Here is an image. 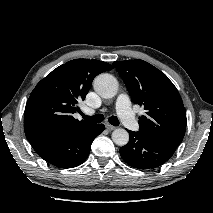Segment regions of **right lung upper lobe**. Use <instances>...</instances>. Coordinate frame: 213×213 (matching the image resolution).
<instances>
[{
	"label": "right lung upper lobe",
	"mask_w": 213,
	"mask_h": 213,
	"mask_svg": "<svg viewBox=\"0 0 213 213\" xmlns=\"http://www.w3.org/2000/svg\"><path fill=\"white\" fill-rule=\"evenodd\" d=\"M113 67L103 61L75 59L54 69L31 92L24 113L28 140L62 139L93 123L79 121L78 102L85 100L93 79Z\"/></svg>",
	"instance_id": "obj_1"
}]
</instances>
